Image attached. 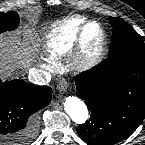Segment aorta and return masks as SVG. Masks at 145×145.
Instances as JSON below:
<instances>
[{
  "instance_id": "obj_1",
  "label": "aorta",
  "mask_w": 145,
  "mask_h": 145,
  "mask_svg": "<svg viewBox=\"0 0 145 145\" xmlns=\"http://www.w3.org/2000/svg\"><path fill=\"white\" fill-rule=\"evenodd\" d=\"M64 109L72 121L76 124L85 123L89 117L85 103L74 96H70L65 100Z\"/></svg>"
}]
</instances>
